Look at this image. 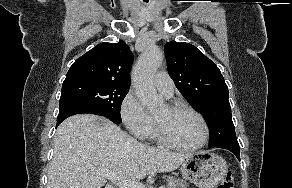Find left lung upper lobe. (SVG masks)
<instances>
[{
  "mask_svg": "<svg viewBox=\"0 0 292 188\" xmlns=\"http://www.w3.org/2000/svg\"><path fill=\"white\" fill-rule=\"evenodd\" d=\"M164 49L177 89L208 123L209 147L236 139L228 87L216 64L189 43L171 41Z\"/></svg>",
  "mask_w": 292,
  "mask_h": 188,
  "instance_id": "obj_1",
  "label": "left lung upper lobe"
}]
</instances>
